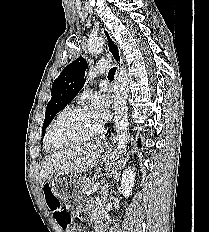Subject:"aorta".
Listing matches in <instances>:
<instances>
[{"label":"aorta","mask_w":209,"mask_h":232,"mask_svg":"<svg viewBox=\"0 0 209 232\" xmlns=\"http://www.w3.org/2000/svg\"><path fill=\"white\" fill-rule=\"evenodd\" d=\"M104 49V40L102 37L92 38L88 41V51L92 55L100 54ZM128 83L129 77L127 71L122 67L114 79L113 98H114V123H115V140H116V161L115 170H119L123 163V156L126 144L129 140L128 135Z\"/></svg>","instance_id":"762f6f07"}]
</instances>
